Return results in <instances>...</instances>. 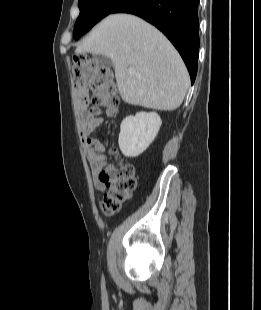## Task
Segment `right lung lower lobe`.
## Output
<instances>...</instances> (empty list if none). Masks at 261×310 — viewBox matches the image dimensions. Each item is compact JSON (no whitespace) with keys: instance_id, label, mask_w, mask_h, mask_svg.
Masks as SVG:
<instances>
[{"instance_id":"right-lung-lower-lobe-1","label":"right lung lower lobe","mask_w":261,"mask_h":310,"mask_svg":"<svg viewBox=\"0 0 261 310\" xmlns=\"http://www.w3.org/2000/svg\"><path fill=\"white\" fill-rule=\"evenodd\" d=\"M199 0H125L111 13L137 15L156 26L182 56L193 84L199 55Z\"/></svg>"}]
</instances>
